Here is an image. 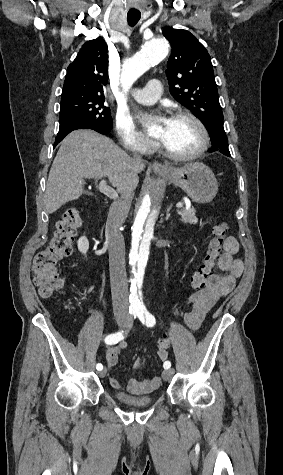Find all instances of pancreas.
Masks as SVG:
<instances>
[{
	"label": "pancreas",
	"instance_id": "obj_1",
	"mask_svg": "<svg viewBox=\"0 0 283 475\" xmlns=\"http://www.w3.org/2000/svg\"><path fill=\"white\" fill-rule=\"evenodd\" d=\"M195 212V208H189V210L182 208V210L178 212L179 216H181V222H184V224H197L198 218H196Z\"/></svg>",
	"mask_w": 283,
	"mask_h": 475
}]
</instances>
